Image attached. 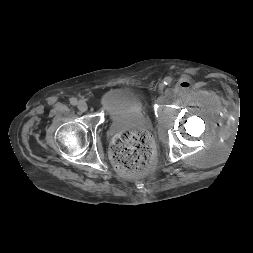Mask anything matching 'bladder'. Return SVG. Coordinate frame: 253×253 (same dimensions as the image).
<instances>
[{
  "label": "bladder",
  "instance_id": "1",
  "mask_svg": "<svg viewBox=\"0 0 253 253\" xmlns=\"http://www.w3.org/2000/svg\"><path fill=\"white\" fill-rule=\"evenodd\" d=\"M100 106L112 117L141 113L146 108V99L140 89L122 85L108 89L100 99Z\"/></svg>",
  "mask_w": 253,
  "mask_h": 253
}]
</instances>
